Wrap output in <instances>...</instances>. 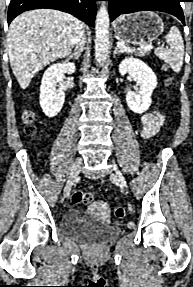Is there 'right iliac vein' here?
Returning <instances> with one entry per match:
<instances>
[{"mask_svg":"<svg viewBox=\"0 0 193 287\" xmlns=\"http://www.w3.org/2000/svg\"><path fill=\"white\" fill-rule=\"evenodd\" d=\"M81 165H82V159H81V157H77L75 160V163L71 169L69 179H68V181L65 185V188H64V195L65 196H67L70 193L71 188H72L76 178L78 177V175L80 173Z\"/></svg>","mask_w":193,"mask_h":287,"instance_id":"right-iliac-vein-1","label":"right iliac vein"}]
</instances>
